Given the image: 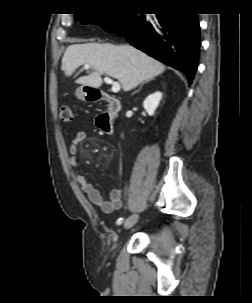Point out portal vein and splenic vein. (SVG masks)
<instances>
[{
	"label": "portal vein and splenic vein",
	"mask_w": 252,
	"mask_h": 303,
	"mask_svg": "<svg viewBox=\"0 0 252 303\" xmlns=\"http://www.w3.org/2000/svg\"><path fill=\"white\" fill-rule=\"evenodd\" d=\"M84 67H85L86 69H88V68H90V65H89V64H85ZM104 81H105L106 83L112 85V92H113V93H118V92L120 91L121 86H120V84H119L118 82L113 81V80H112L111 78H109V77H105V78H104Z\"/></svg>",
	"instance_id": "portal-vein-and-splenic-vein-1"
}]
</instances>
